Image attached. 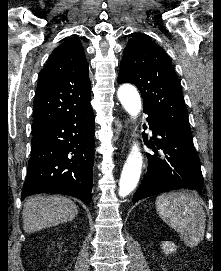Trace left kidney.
<instances>
[{
	"mask_svg": "<svg viewBox=\"0 0 221 271\" xmlns=\"http://www.w3.org/2000/svg\"><path fill=\"white\" fill-rule=\"evenodd\" d=\"M161 249H163L164 253H173V251H176L177 245L173 241H162Z\"/></svg>",
	"mask_w": 221,
	"mask_h": 271,
	"instance_id": "obj_1",
	"label": "left kidney"
}]
</instances>
